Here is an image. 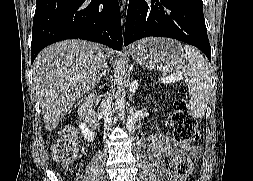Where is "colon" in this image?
I'll return each instance as SVG.
<instances>
[{"label":"colon","mask_w":253,"mask_h":181,"mask_svg":"<svg viewBox=\"0 0 253 181\" xmlns=\"http://www.w3.org/2000/svg\"><path fill=\"white\" fill-rule=\"evenodd\" d=\"M171 125L174 130V138L184 144H190L197 140V123L195 118L188 112L187 102L177 99L173 105ZM76 153V142L71 127L64 130L62 138L54 147L55 158L62 163H70ZM192 170V162L189 158L178 161L172 181H185Z\"/></svg>","instance_id":"5ec220e1"}]
</instances>
